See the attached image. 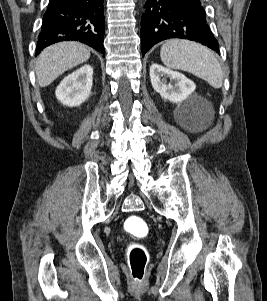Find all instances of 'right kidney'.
<instances>
[{
  "label": "right kidney",
  "instance_id": "right-kidney-1",
  "mask_svg": "<svg viewBox=\"0 0 267 301\" xmlns=\"http://www.w3.org/2000/svg\"><path fill=\"white\" fill-rule=\"evenodd\" d=\"M93 84V68L84 65L66 76L56 88V98L69 107L79 106L88 99Z\"/></svg>",
  "mask_w": 267,
  "mask_h": 301
}]
</instances>
